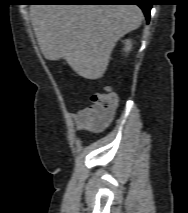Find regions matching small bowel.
Returning <instances> with one entry per match:
<instances>
[{
	"label": "small bowel",
	"instance_id": "1",
	"mask_svg": "<svg viewBox=\"0 0 188 213\" xmlns=\"http://www.w3.org/2000/svg\"><path fill=\"white\" fill-rule=\"evenodd\" d=\"M88 111V107H86L75 113L74 120L78 129L104 128L108 124L109 120L95 125L88 117Z\"/></svg>",
	"mask_w": 188,
	"mask_h": 213
}]
</instances>
